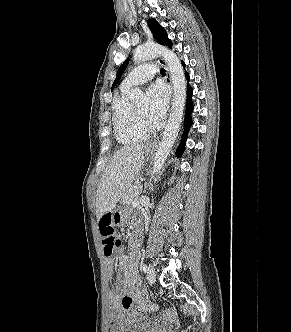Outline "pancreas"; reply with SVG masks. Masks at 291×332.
<instances>
[{"label": "pancreas", "instance_id": "cf45deb5", "mask_svg": "<svg viewBox=\"0 0 291 332\" xmlns=\"http://www.w3.org/2000/svg\"><path fill=\"white\" fill-rule=\"evenodd\" d=\"M142 191L141 185H130L121 196V203L124 205H131L135 200L139 199Z\"/></svg>", "mask_w": 291, "mask_h": 332}]
</instances>
